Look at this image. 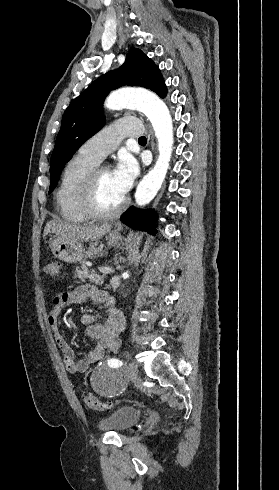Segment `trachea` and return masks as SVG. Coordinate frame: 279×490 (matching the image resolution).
<instances>
[{"mask_svg": "<svg viewBox=\"0 0 279 490\" xmlns=\"http://www.w3.org/2000/svg\"><path fill=\"white\" fill-rule=\"evenodd\" d=\"M139 143H146L147 140L145 137H140L139 140H138Z\"/></svg>", "mask_w": 279, "mask_h": 490, "instance_id": "3493384b", "label": "trachea"}]
</instances>
